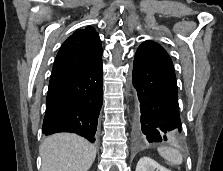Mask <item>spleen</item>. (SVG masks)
<instances>
[{
    "label": "spleen",
    "instance_id": "1",
    "mask_svg": "<svg viewBox=\"0 0 223 171\" xmlns=\"http://www.w3.org/2000/svg\"><path fill=\"white\" fill-rule=\"evenodd\" d=\"M157 151L170 164L181 165L183 162L182 154L175 148L163 146L159 147Z\"/></svg>",
    "mask_w": 223,
    "mask_h": 171
}]
</instances>
